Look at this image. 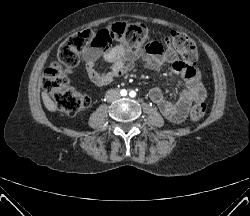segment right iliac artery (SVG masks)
Wrapping results in <instances>:
<instances>
[{
	"label": "right iliac artery",
	"instance_id": "obj_1",
	"mask_svg": "<svg viewBox=\"0 0 250 216\" xmlns=\"http://www.w3.org/2000/svg\"><path fill=\"white\" fill-rule=\"evenodd\" d=\"M120 93H121L122 96H126L127 95V91L125 89H122Z\"/></svg>",
	"mask_w": 250,
	"mask_h": 216
}]
</instances>
